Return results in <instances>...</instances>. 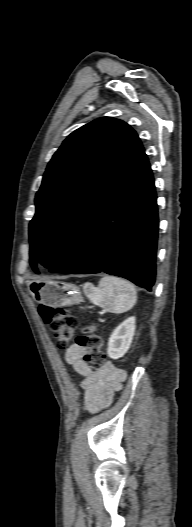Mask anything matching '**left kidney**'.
<instances>
[{
	"label": "left kidney",
	"mask_w": 192,
	"mask_h": 527,
	"mask_svg": "<svg viewBox=\"0 0 192 527\" xmlns=\"http://www.w3.org/2000/svg\"><path fill=\"white\" fill-rule=\"evenodd\" d=\"M135 317H129L112 332L107 353L112 359L123 357L130 348L135 333Z\"/></svg>",
	"instance_id": "1"
}]
</instances>
